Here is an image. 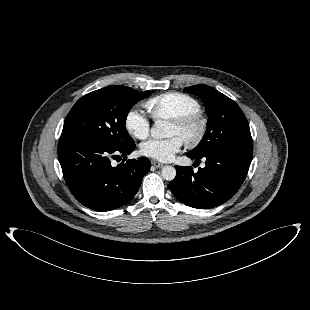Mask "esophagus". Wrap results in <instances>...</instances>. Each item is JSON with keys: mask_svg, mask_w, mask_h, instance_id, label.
I'll use <instances>...</instances> for the list:
<instances>
[{"mask_svg": "<svg viewBox=\"0 0 310 310\" xmlns=\"http://www.w3.org/2000/svg\"><path fill=\"white\" fill-rule=\"evenodd\" d=\"M152 165L156 168H162L163 164L158 161H152Z\"/></svg>", "mask_w": 310, "mask_h": 310, "instance_id": "esophagus-1", "label": "esophagus"}]
</instances>
